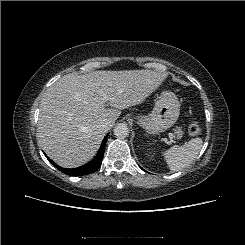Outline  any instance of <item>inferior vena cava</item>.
<instances>
[{"label": "inferior vena cava", "instance_id": "inferior-vena-cava-1", "mask_svg": "<svg viewBox=\"0 0 245 245\" xmlns=\"http://www.w3.org/2000/svg\"><path fill=\"white\" fill-rule=\"evenodd\" d=\"M114 124H115V121L114 120H112V119H106L103 122H101L100 128L103 131L107 132L112 126H114Z\"/></svg>", "mask_w": 245, "mask_h": 245}]
</instances>
